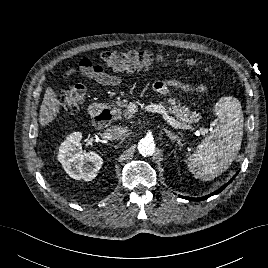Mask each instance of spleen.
Returning <instances> with one entry per match:
<instances>
[{
	"instance_id": "3e777b00",
	"label": "spleen",
	"mask_w": 268,
	"mask_h": 268,
	"mask_svg": "<svg viewBox=\"0 0 268 268\" xmlns=\"http://www.w3.org/2000/svg\"><path fill=\"white\" fill-rule=\"evenodd\" d=\"M214 112L219 119L217 126L187 158L189 171L205 181L229 168L240 150L243 137L244 117L238 99L222 97L215 104Z\"/></svg>"
}]
</instances>
